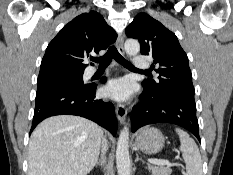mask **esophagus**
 <instances>
[{
  "mask_svg": "<svg viewBox=\"0 0 233 175\" xmlns=\"http://www.w3.org/2000/svg\"><path fill=\"white\" fill-rule=\"evenodd\" d=\"M123 35L119 34L116 40V46L118 51L123 54L124 53V47H123ZM116 114H117V118L119 120V122L121 124H123L126 120V116H127V108L123 105V104H117L116 105Z\"/></svg>",
  "mask_w": 233,
  "mask_h": 175,
  "instance_id": "esophagus-1",
  "label": "esophagus"
}]
</instances>
